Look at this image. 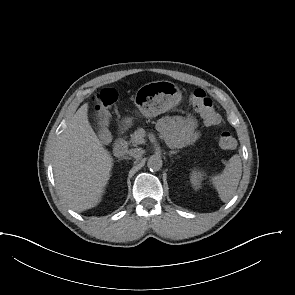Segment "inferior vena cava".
<instances>
[{
	"label": "inferior vena cava",
	"mask_w": 295,
	"mask_h": 295,
	"mask_svg": "<svg viewBox=\"0 0 295 295\" xmlns=\"http://www.w3.org/2000/svg\"><path fill=\"white\" fill-rule=\"evenodd\" d=\"M128 154L134 158H141L144 154V150H142L141 148H135L129 150Z\"/></svg>",
	"instance_id": "obj_1"
}]
</instances>
